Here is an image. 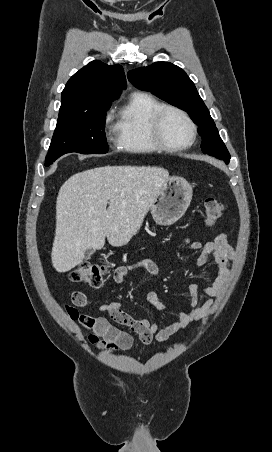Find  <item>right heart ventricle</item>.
Masks as SVG:
<instances>
[{
  "mask_svg": "<svg viewBox=\"0 0 272 452\" xmlns=\"http://www.w3.org/2000/svg\"><path fill=\"white\" fill-rule=\"evenodd\" d=\"M163 104L147 93H135L123 108L116 125L118 145L133 153H152L160 148L154 142L150 122Z\"/></svg>",
  "mask_w": 272,
  "mask_h": 452,
  "instance_id": "obj_1",
  "label": "right heart ventricle"
}]
</instances>
